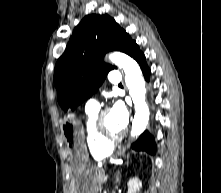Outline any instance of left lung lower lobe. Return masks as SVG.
<instances>
[{
    "instance_id": "1",
    "label": "left lung lower lobe",
    "mask_w": 221,
    "mask_h": 193,
    "mask_svg": "<svg viewBox=\"0 0 221 193\" xmlns=\"http://www.w3.org/2000/svg\"><path fill=\"white\" fill-rule=\"evenodd\" d=\"M128 55L133 57L139 63L145 80L149 81L150 69L146 64L144 53L140 51L139 46L136 43L131 47ZM131 147L136 151H146L151 155H154L156 151V143L153 136H151L148 131H145Z\"/></svg>"
}]
</instances>
